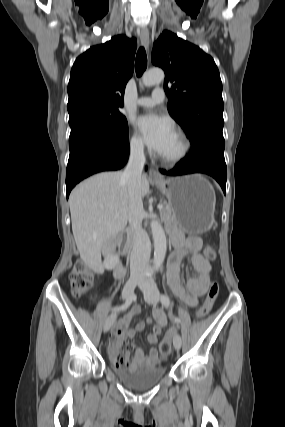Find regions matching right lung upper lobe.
Here are the masks:
<instances>
[{"label":"right lung upper lobe","mask_w":285,"mask_h":427,"mask_svg":"<svg viewBox=\"0 0 285 427\" xmlns=\"http://www.w3.org/2000/svg\"><path fill=\"white\" fill-rule=\"evenodd\" d=\"M136 40L114 36L80 55L68 84L69 115L88 108H120L134 70Z\"/></svg>","instance_id":"1"}]
</instances>
